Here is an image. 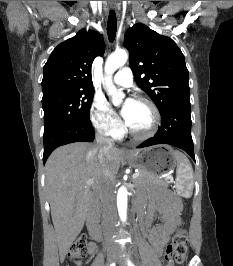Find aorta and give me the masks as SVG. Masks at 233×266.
Wrapping results in <instances>:
<instances>
[{"instance_id":"aorta-1","label":"aorta","mask_w":233,"mask_h":266,"mask_svg":"<svg viewBox=\"0 0 233 266\" xmlns=\"http://www.w3.org/2000/svg\"><path fill=\"white\" fill-rule=\"evenodd\" d=\"M128 60V53L125 50H118L111 54L105 63V78L103 80V88L106 93L112 97L114 105H119L124 94L118 91L112 81L113 73L121 66H123ZM127 196L128 191L126 187L121 186L117 193V208L120 219L123 223L127 219Z\"/></svg>"}]
</instances>
